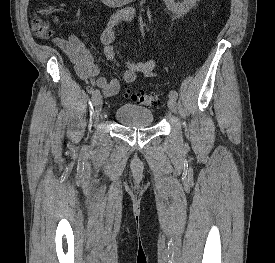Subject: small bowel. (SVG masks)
Instances as JSON below:
<instances>
[{"label":"small bowel","instance_id":"c3829d8e","mask_svg":"<svg viewBox=\"0 0 275 263\" xmlns=\"http://www.w3.org/2000/svg\"><path fill=\"white\" fill-rule=\"evenodd\" d=\"M138 17L134 9H122L113 14L101 32L100 43L105 57L121 68L119 78L100 76V68L95 63L92 52L84 41L74 34L65 38H54V44L70 59L78 77L89 83L90 91L100 89L104 98L115 96L121 87V81L132 83L139 75L145 78L155 77L156 60L134 62L124 58L115 46V27L122 22H131Z\"/></svg>","mask_w":275,"mask_h":263}]
</instances>
